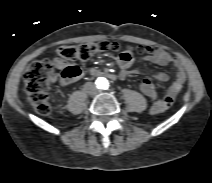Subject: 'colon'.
Instances as JSON below:
<instances>
[{
	"label": "colon",
	"instance_id": "colon-1",
	"mask_svg": "<svg viewBox=\"0 0 212 183\" xmlns=\"http://www.w3.org/2000/svg\"><path fill=\"white\" fill-rule=\"evenodd\" d=\"M120 50L117 42L99 41L93 43H83L79 45H68L58 48L57 55L53 59H44L33 63L24 74V90L28 102L40 115L47 116L51 112L49 93L51 83L55 78V69L62 67L61 76L66 79H74L79 74V68L71 62L84 60L93 55ZM125 51L141 54L155 53L151 47H126ZM139 89L152 101L157 99V93L152 83L148 80L139 82Z\"/></svg>",
	"mask_w": 212,
	"mask_h": 183
}]
</instances>
